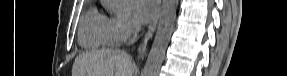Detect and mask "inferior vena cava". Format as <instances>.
<instances>
[{
    "mask_svg": "<svg viewBox=\"0 0 287 76\" xmlns=\"http://www.w3.org/2000/svg\"><path fill=\"white\" fill-rule=\"evenodd\" d=\"M140 28H141V27H140L139 24H134V25H133V37H132V39L130 40L131 43L136 40L137 34H138V32L140 31Z\"/></svg>",
    "mask_w": 287,
    "mask_h": 76,
    "instance_id": "obj_1",
    "label": "inferior vena cava"
}]
</instances>
